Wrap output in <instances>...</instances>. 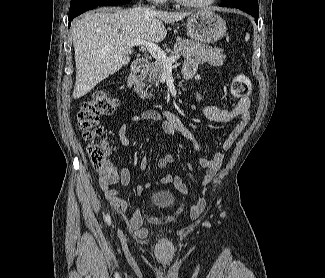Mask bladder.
I'll return each mask as SVG.
<instances>
[{"mask_svg": "<svg viewBox=\"0 0 325 278\" xmlns=\"http://www.w3.org/2000/svg\"><path fill=\"white\" fill-rule=\"evenodd\" d=\"M175 201L176 196L168 190H156L150 196L151 204L161 209L173 206Z\"/></svg>", "mask_w": 325, "mask_h": 278, "instance_id": "31cf9c89", "label": "bladder"}]
</instances>
